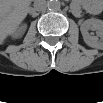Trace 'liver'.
Instances as JSON below:
<instances>
[{"mask_svg":"<svg viewBox=\"0 0 103 103\" xmlns=\"http://www.w3.org/2000/svg\"><path fill=\"white\" fill-rule=\"evenodd\" d=\"M30 2L25 0H6L1 2L0 39L3 42L13 34L28 13Z\"/></svg>","mask_w":103,"mask_h":103,"instance_id":"obj_1","label":"liver"}]
</instances>
